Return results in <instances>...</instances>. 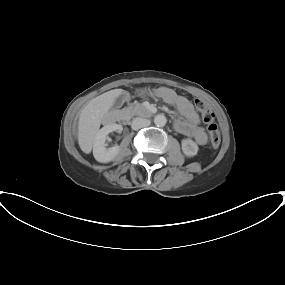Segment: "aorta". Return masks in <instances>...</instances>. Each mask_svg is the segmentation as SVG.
<instances>
[{
    "label": "aorta",
    "instance_id": "762f6f07",
    "mask_svg": "<svg viewBox=\"0 0 285 285\" xmlns=\"http://www.w3.org/2000/svg\"><path fill=\"white\" fill-rule=\"evenodd\" d=\"M154 123L157 127H163L166 125L167 119H166L165 115L158 114L154 118Z\"/></svg>",
    "mask_w": 285,
    "mask_h": 285
}]
</instances>
